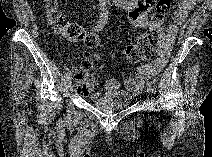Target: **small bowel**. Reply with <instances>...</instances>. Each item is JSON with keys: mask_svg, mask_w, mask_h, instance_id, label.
I'll return each mask as SVG.
<instances>
[{"mask_svg": "<svg viewBox=\"0 0 212 157\" xmlns=\"http://www.w3.org/2000/svg\"><path fill=\"white\" fill-rule=\"evenodd\" d=\"M117 5L128 12L130 23L134 27L140 29L150 27L149 13L153 6V0H119ZM194 7V0H181L172 16L171 24L165 31V34L169 38L166 36L163 37L159 57L139 67L136 71V77H126L123 81L116 79L107 80L105 89L109 91L125 89L136 94L141 92L144 83L155 77L168 63L172 43L177 35L178 27L185 22L188 14Z\"/></svg>", "mask_w": 212, "mask_h": 157, "instance_id": "c3829d8e", "label": "small bowel"}]
</instances>
